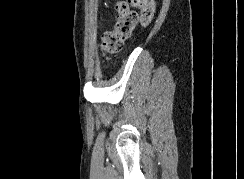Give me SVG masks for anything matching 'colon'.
<instances>
[{"label":"colon","mask_w":244,"mask_h":179,"mask_svg":"<svg viewBox=\"0 0 244 179\" xmlns=\"http://www.w3.org/2000/svg\"><path fill=\"white\" fill-rule=\"evenodd\" d=\"M114 9L117 13L115 30L105 32L100 44L105 54L121 52L136 28H145L151 23L155 6L150 0H128L115 2Z\"/></svg>","instance_id":"1"}]
</instances>
